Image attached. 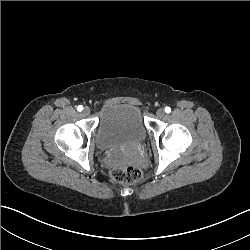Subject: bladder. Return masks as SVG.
Listing matches in <instances>:
<instances>
[{
	"label": "bladder",
	"instance_id": "bladder-1",
	"mask_svg": "<svg viewBox=\"0 0 250 250\" xmlns=\"http://www.w3.org/2000/svg\"><path fill=\"white\" fill-rule=\"evenodd\" d=\"M147 127L140 108L130 103L113 102L102 107L93 140L99 151L146 140Z\"/></svg>",
	"mask_w": 250,
	"mask_h": 250
}]
</instances>
